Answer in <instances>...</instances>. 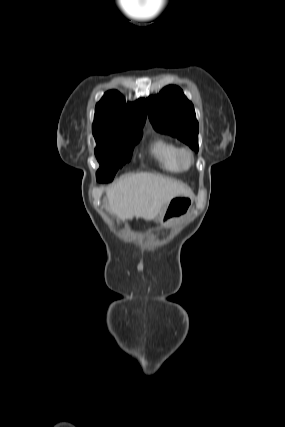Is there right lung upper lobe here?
<instances>
[{"label": "right lung upper lobe", "mask_w": 285, "mask_h": 427, "mask_svg": "<svg viewBox=\"0 0 285 427\" xmlns=\"http://www.w3.org/2000/svg\"><path fill=\"white\" fill-rule=\"evenodd\" d=\"M146 120L144 99L125 103L123 96L115 90L105 93L96 104L93 130L108 128H142Z\"/></svg>", "instance_id": "obj_1"}]
</instances>
